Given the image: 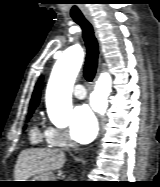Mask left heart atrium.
Returning a JSON list of instances; mask_svg holds the SVG:
<instances>
[{"instance_id":"1","label":"left heart atrium","mask_w":160,"mask_h":187,"mask_svg":"<svg viewBox=\"0 0 160 187\" xmlns=\"http://www.w3.org/2000/svg\"><path fill=\"white\" fill-rule=\"evenodd\" d=\"M97 121L88 105H80L75 108L70 132L73 139L79 143H88L97 134Z\"/></svg>"}]
</instances>
